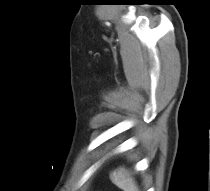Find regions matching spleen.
I'll list each match as a JSON object with an SVG mask.
<instances>
[{
	"instance_id": "3e777b00",
	"label": "spleen",
	"mask_w": 210,
	"mask_h": 191,
	"mask_svg": "<svg viewBox=\"0 0 210 191\" xmlns=\"http://www.w3.org/2000/svg\"><path fill=\"white\" fill-rule=\"evenodd\" d=\"M110 179L113 184L123 191H138L135 181L124 168H119L117 171L110 174Z\"/></svg>"
}]
</instances>
